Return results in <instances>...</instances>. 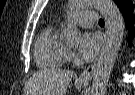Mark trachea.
<instances>
[{
    "mask_svg": "<svg viewBox=\"0 0 135 95\" xmlns=\"http://www.w3.org/2000/svg\"><path fill=\"white\" fill-rule=\"evenodd\" d=\"M99 24L100 25H104V20L103 19H99Z\"/></svg>",
    "mask_w": 135,
    "mask_h": 95,
    "instance_id": "trachea-1",
    "label": "trachea"
}]
</instances>
